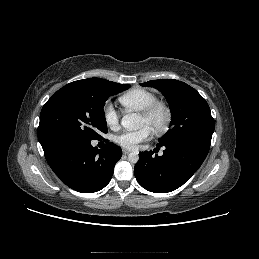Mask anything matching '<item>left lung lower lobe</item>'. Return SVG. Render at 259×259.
<instances>
[{
	"label": "left lung lower lobe",
	"mask_w": 259,
	"mask_h": 259,
	"mask_svg": "<svg viewBox=\"0 0 259 259\" xmlns=\"http://www.w3.org/2000/svg\"><path fill=\"white\" fill-rule=\"evenodd\" d=\"M157 146L164 147L162 156L154 157L152 151L139 153L134 167L138 183L155 193L171 192L183 185L201 166L210 148L197 140H177Z\"/></svg>",
	"instance_id": "1"
}]
</instances>
